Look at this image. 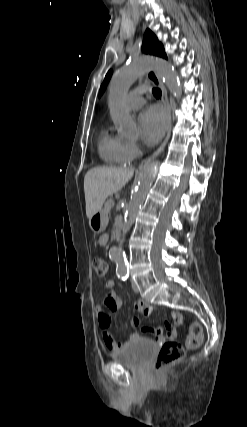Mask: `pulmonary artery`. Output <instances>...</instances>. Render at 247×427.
Returning a JSON list of instances; mask_svg holds the SVG:
<instances>
[{"label": "pulmonary artery", "mask_w": 247, "mask_h": 427, "mask_svg": "<svg viewBox=\"0 0 247 427\" xmlns=\"http://www.w3.org/2000/svg\"><path fill=\"white\" fill-rule=\"evenodd\" d=\"M145 92V89L140 87L134 91H131L126 97H125V105L128 109H137L141 107L144 104V98L143 93Z\"/></svg>", "instance_id": "e3ab8cb5"}]
</instances>
